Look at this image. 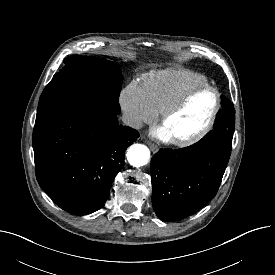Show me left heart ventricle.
Returning <instances> with one entry per match:
<instances>
[{"instance_id":"b2bd125f","label":"left heart ventricle","mask_w":275,"mask_h":275,"mask_svg":"<svg viewBox=\"0 0 275 275\" xmlns=\"http://www.w3.org/2000/svg\"><path fill=\"white\" fill-rule=\"evenodd\" d=\"M216 103L213 91L205 90L194 95L183 108L172 115L162 127L170 138L190 136L208 121Z\"/></svg>"}]
</instances>
